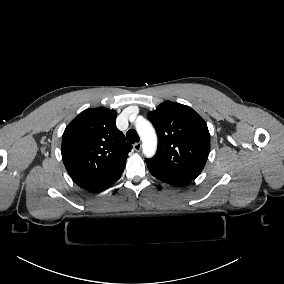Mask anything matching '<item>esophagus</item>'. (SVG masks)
<instances>
[{"label":"esophagus","instance_id":"1","mask_svg":"<svg viewBox=\"0 0 284 284\" xmlns=\"http://www.w3.org/2000/svg\"><path fill=\"white\" fill-rule=\"evenodd\" d=\"M133 148H134L135 151L139 152L142 148V144L141 143H135L133 145Z\"/></svg>","mask_w":284,"mask_h":284}]
</instances>
